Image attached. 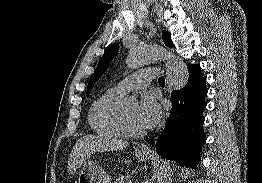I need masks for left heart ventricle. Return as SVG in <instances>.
I'll list each match as a JSON object with an SVG mask.
<instances>
[{
    "label": "left heart ventricle",
    "mask_w": 262,
    "mask_h": 183,
    "mask_svg": "<svg viewBox=\"0 0 262 183\" xmlns=\"http://www.w3.org/2000/svg\"><path fill=\"white\" fill-rule=\"evenodd\" d=\"M130 124L132 125V127H134L135 129H140V130H144V128L141 127V125L138 122L137 119V115H138V107L137 106H133L130 107L126 110H124Z\"/></svg>",
    "instance_id": "left-heart-ventricle-1"
}]
</instances>
